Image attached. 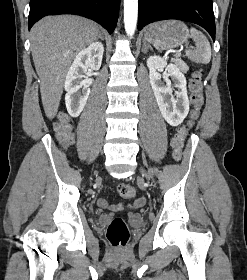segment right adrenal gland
<instances>
[{
	"instance_id": "1",
	"label": "right adrenal gland",
	"mask_w": 247,
	"mask_h": 280,
	"mask_svg": "<svg viewBox=\"0 0 247 280\" xmlns=\"http://www.w3.org/2000/svg\"><path fill=\"white\" fill-rule=\"evenodd\" d=\"M99 38L101 39V41L104 40L103 36L101 35V33L99 34Z\"/></svg>"
}]
</instances>
